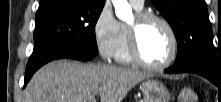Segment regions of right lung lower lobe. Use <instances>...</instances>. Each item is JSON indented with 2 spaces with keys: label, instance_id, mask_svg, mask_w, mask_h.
I'll return each mask as SVG.
<instances>
[{
  "label": "right lung lower lobe",
  "instance_id": "1",
  "mask_svg": "<svg viewBox=\"0 0 221 102\" xmlns=\"http://www.w3.org/2000/svg\"><path fill=\"white\" fill-rule=\"evenodd\" d=\"M95 53H92L88 50L81 49V48H64L61 49L53 54L48 55L47 57L41 59L36 64H34L31 67L26 68L25 73V81H24V87L27 85L28 81L32 77V75L35 73L37 69H39L42 65L46 64L49 61L55 60V59H62V58H69V59H76V60H82L87 61L95 57Z\"/></svg>",
  "mask_w": 221,
  "mask_h": 102
}]
</instances>
